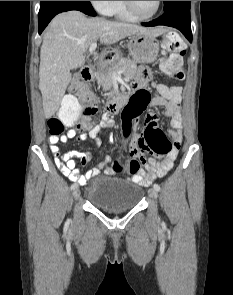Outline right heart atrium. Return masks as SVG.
<instances>
[{
  "label": "right heart atrium",
  "mask_w": 233,
  "mask_h": 295,
  "mask_svg": "<svg viewBox=\"0 0 233 295\" xmlns=\"http://www.w3.org/2000/svg\"><path fill=\"white\" fill-rule=\"evenodd\" d=\"M96 11L103 15H109L113 1H90Z\"/></svg>",
  "instance_id": "right-heart-atrium-1"
}]
</instances>
